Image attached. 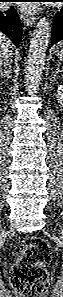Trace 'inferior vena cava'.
I'll list each match as a JSON object with an SVG mask.
<instances>
[{
	"label": "inferior vena cava",
	"instance_id": "inferior-vena-cava-1",
	"mask_svg": "<svg viewBox=\"0 0 63 297\" xmlns=\"http://www.w3.org/2000/svg\"><path fill=\"white\" fill-rule=\"evenodd\" d=\"M11 62H12L11 54H8V55L1 58L0 65L9 69L10 66H11Z\"/></svg>",
	"mask_w": 63,
	"mask_h": 297
}]
</instances>
